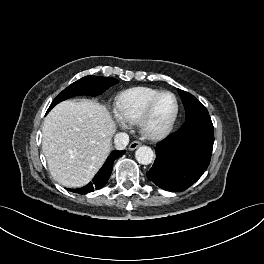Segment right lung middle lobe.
Returning <instances> with one entry per match:
<instances>
[{
  "mask_svg": "<svg viewBox=\"0 0 264 264\" xmlns=\"http://www.w3.org/2000/svg\"><path fill=\"white\" fill-rule=\"evenodd\" d=\"M118 83V80L111 77L85 76L72 83L51 103L47 112H49L56 104L77 95L96 96L102 94L106 89Z\"/></svg>",
  "mask_w": 264,
  "mask_h": 264,
  "instance_id": "dd1d6c3e",
  "label": "right lung middle lobe"
}]
</instances>
